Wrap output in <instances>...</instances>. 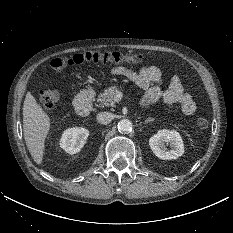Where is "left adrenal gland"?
Segmentation results:
<instances>
[{
	"mask_svg": "<svg viewBox=\"0 0 233 233\" xmlns=\"http://www.w3.org/2000/svg\"><path fill=\"white\" fill-rule=\"evenodd\" d=\"M153 121H154L153 118H148V119L145 121V124H148V123L153 122Z\"/></svg>",
	"mask_w": 233,
	"mask_h": 233,
	"instance_id": "a2214340",
	"label": "left adrenal gland"
}]
</instances>
